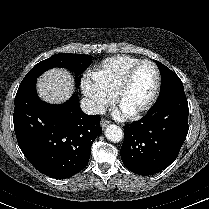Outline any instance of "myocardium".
I'll return each mask as SVG.
<instances>
[{
    "label": "myocardium",
    "instance_id": "obj_1",
    "mask_svg": "<svg viewBox=\"0 0 209 209\" xmlns=\"http://www.w3.org/2000/svg\"><path fill=\"white\" fill-rule=\"evenodd\" d=\"M143 63H149L152 65V67L154 69V73H155V84H154L153 91H152L149 99L147 100V102L143 106H141L140 108L128 113V115L131 118H139L143 114L148 112L152 108V106L155 104L158 94H159V90H160L161 77H160L159 68L156 65V63L150 59H139L138 61L133 63L128 68V70L126 71L125 75L123 76V78H122V80L115 92L117 104L120 106L121 98H122L123 94L125 93V91L127 90V88L129 87L135 70L137 69V67L139 65H141Z\"/></svg>",
    "mask_w": 209,
    "mask_h": 209
}]
</instances>
